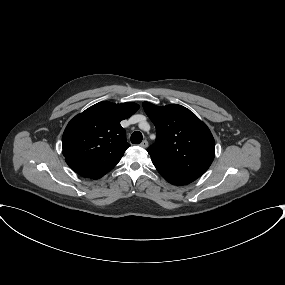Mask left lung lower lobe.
<instances>
[{
	"label": "left lung lower lobe",
	"mask_w": 285,
	"mask_h": 285,
	"mask_svg": "<svg viewBox=\"0 0 285 285\" xmlns=\"http://www.w3.org/2000/svg\"><path fill=\"white\" fill-rule=\"evenodd\" d=\"M155 167L166 181L174 185H186L197 179V177L190 176L181 172L163 169L156 165Z\"/></svg>",
	"instance_id": "left-lung-lower-lobe-1"
}]
</instances>
